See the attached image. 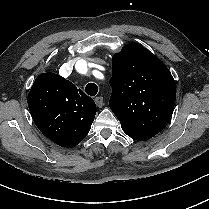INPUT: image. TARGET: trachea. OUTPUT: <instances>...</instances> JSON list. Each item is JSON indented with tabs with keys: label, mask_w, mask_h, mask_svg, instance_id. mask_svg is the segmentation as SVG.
Here are the masks:
<instances>
[{
	"label": "trachea",
	"mask_w": 209,
	"mask_h": 209,
	"mask_svg": "<svg viewBox=\"0 0 209 209\" xmlns=\"http://www.w3.org/2000/svg\"><path fill=\"white\" fill-rule=\"evenodd\" d=\"M85 92L90 96H95L98 92V86L95 83H88Z\"/></svg>",
	"instance_id": "trachea-1"
}]
</instances>
